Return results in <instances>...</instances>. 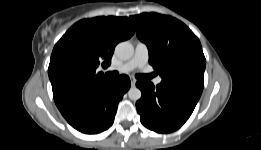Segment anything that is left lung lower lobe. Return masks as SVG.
<instances>
[{"label": "left lung lower lobe", "instance_id": "0a47b994", "mask_svg": "<svg viewBox=\"0 0 261 150\" xmlns=\"http://www.w3.org/2000/svg\"><path fill=\"white\" fill-rule=\"evenodd\" d=\"M142 97L136 102L141 123L158 133L180 128L192 114L203 85L186 79L162 80L156 87L150 81L138 80Z\"/></svg>", "mask_w": 261, "mask_h": 150}]
</instances>
